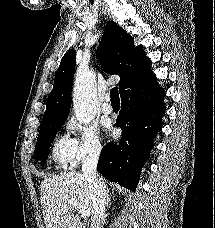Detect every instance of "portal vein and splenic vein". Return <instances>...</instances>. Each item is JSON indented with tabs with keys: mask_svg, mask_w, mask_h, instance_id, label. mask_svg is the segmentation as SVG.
Segmentation results:
<instances>
[{
	"mask_svg": "<svg viewBox=\"0 0 215 228\" xmlns=\"http://www.w3.org/2000/svg\"><path fill=\"white\" fill-rule=\"evenodd\" d=\"M68 204H70L74 210H77V212L81 214L82 218H87V210H84L83 206H79V204H76V202H68Z\"/></svg>",
	"mask_w": 215,
	"mask_h": 228,
	"instance_id": "obj_1",
	"label": "portal vein and splenic vein"
}]
</instances>
